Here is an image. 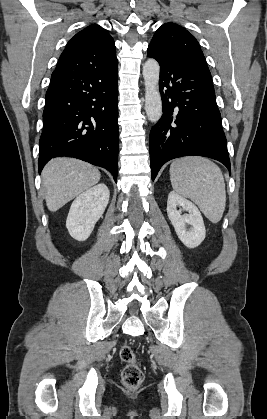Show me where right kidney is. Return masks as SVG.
I'll list each match as a JSON object with an SVG mask.
<instances>
[{
	"label": "right kidney",
	"mask_w": 267,
	"mask_h": 419,
	"mask_svg": "<svg viewBox=\"0 0 267 419\" xmlns=\"http://www.w3.org/2000/svg\"><path fill=\"white\" fill-rule=\"evenodd\" d=\"M110 191L101 183L80 194L72 203L66 227L72 238L85 241L109 202Z\"/></svg>",
	"instance_id": "ca27d5eb"
}]
</instances>
